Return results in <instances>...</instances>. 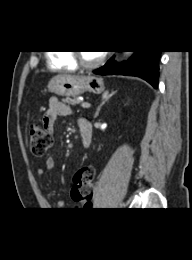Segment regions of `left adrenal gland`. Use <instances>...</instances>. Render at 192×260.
Returning <instances> with one entry per match:
<instances>
[{
  "mask_svg": "<svg viewBox=\"0 0 192 260\" xmlns=\"http://www.w3.org/2000/svg\"><path fill=\"white\" fill-rule=\"evenodd\" d=\"M116 93V91H112L109 93V91H105L102 95V103L98 106L97 111L95 113L94 118H97L99 115V112L101 110V107Z\"/></svg>",
  "mask_w": 192,
  "mask_h": 260,
  "instance_id": "left-adrenal-gland-1",
  "label": "left adrenal gland"
}]
</instances>
